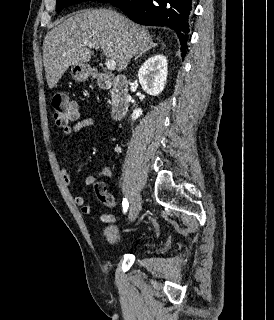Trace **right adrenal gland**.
Returning a JSON list of instances; mask_svg holds the SVG:
<instances>
[{"mask_svg":"<svg viewBox=\"0 0 274 320\" xmlns=\"http://www.w3.org/2000/svg\"><path fill=\"white\" fill-rule=\"evenodd\" d=\"M155 46H157V44H153V46H151V48H155ZM147 52H149V50H146V52H144V54H139V56H136L135 60H137V58H142V56H145V54H147Z\"/></svg>","mask_w":274,"mask_h":320,"instance_id":"1","label":"right adrenal gland"}]
</instances>
